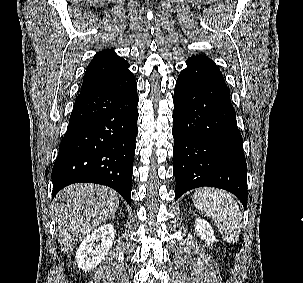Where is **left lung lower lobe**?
I'll use <instances>...</instances> for the list:
<instances>
[{"instance_id":"0a47b994","label":"left lung lower lobe","mask_w":303,"mask_h":283,"mask_svg":"<svg viewBox=\"0 0 303 283\" xmlns=\"http://www.w3.org/2000/svg\"><path fill=\"white\" fill-rule=\"evenodd\" d=\"M174 91L175 200L203 186L236 195L247 206V165L230 92L206 56L188 59Z\"/></svg>"}]
</instances>
